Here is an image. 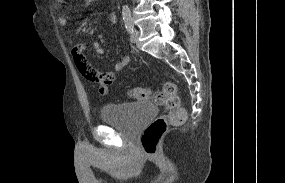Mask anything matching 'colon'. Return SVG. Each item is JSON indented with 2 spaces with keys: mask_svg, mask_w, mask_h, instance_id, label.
<instances>
[{
  "mask_svg": "<svg viewBox=\"0 0 285 183\" xmlns=\"http://www.w3.org/2000/svg\"><path fill=\"white\" fill-rule=\"evenodd\" d=\"M80 73L87 79H93L89 66L85 63H78ZM127 96L133 100H147L153 98L155 101L164 103L169 112L157 117L143 132L140 139V146L144 153L154 154L158 143L166 132L169 125H181L185 122L187 113L180 106L177 86L173 82H167L162 92L153 93L147 87H133L128 89Z\"/></svg>",
  "mask_w": 285,
  "mask_h": 183,
  "instance_id": "5ec220e1",
  "label": "colon"
}]
</instances>
